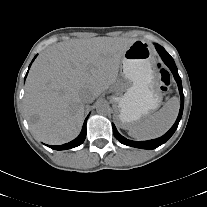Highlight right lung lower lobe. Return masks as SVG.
Instances as JSON below:
<instances>
[{
	"mask_svg": "<svg viewBox=\"0 0 207 207\" xmlns=\"http://www.w3.org/2000/svg\"><path fill=\"white\" fill-rule=\"evenodd\" d=\"M30 66H31V64H30ZM30 66H29V68H30ZM26 76H27V74H26ZM87 118L85 119V122L83 124V128H82V131H81L80 135L76 139H74L73 141H71L69 143L59 145V146H50V145H47V146L50 147L51 149H55V150H65V149H70V148H74V147H77V146L81 145L84 142L85 137H86V121H87Z\"/></svg>",
	"mask_w": 207,
	"mask_h": 207,
	"instance_id": "98d812e1",
	"label": "right lung lower lobe"
}]
</instances>
